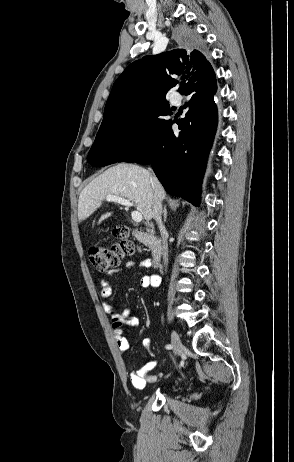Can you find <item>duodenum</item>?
<instances>
[{
	"mask_svg": "<svg viewBox=\"0 0 294 462\" xmlns=\"http://www.w3.org/2000/svg\"><path fill=\"white\" fill-rule=\"evenodd\" d=\"M135 237L149 247L153 253L152 266L159 268L161 266V258L163 251L158 239L155 236L154 229L148 228L143 231H135Z\"/></svg>",
	"mask_w": 294,
	"mask_h": 462,
	"instance_id": "410a0bca",
	"label": "duodenum"
}]
</instances>
